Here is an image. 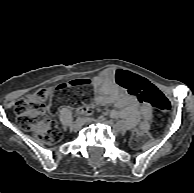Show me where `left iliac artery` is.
Here are the masks:
<instances>
[{
  "label": "left iliac artery",
  "mask_w": 194,
  "mask_h": 193,
  "mask_svg": "<svg viewBox=\"0 0 194 193\" xmlns=\"http://www.w3.org/2000/svg\"><path fill=\"white\" fill-rule=\"evenodd\" d=\"M119 124H123V121H119Z\"/></svg>",
  "instance_id": "left-iliac-artery-1"
}]
</instances>
